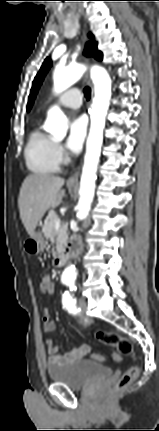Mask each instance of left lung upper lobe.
<instances>
[{
  "label": "left lung upper lobe",
  "instance_id": "obj_1",
  "mask_svg": "<svg viewBox=\"0 0 159 431\" xmlns=\"http://www.w3.org/2000/svg\"><path fill=\"white\" fill-rule=\"evenodd\" d=\"M84 54L86 56H93L97 60H102V57H103L102 53L97 51V43L95 41H91L87 43ZM50 66H51V60L50 58L47 57L32 83V89L30 91V96L28 99V107H27L28 110L31 108L32 103L35 99V96L38 92V89L44 79V76L48 72Z\"/></svg>",
  "mask_w": 159,
  "mask_h": 431
}]
</instances>
